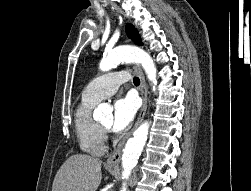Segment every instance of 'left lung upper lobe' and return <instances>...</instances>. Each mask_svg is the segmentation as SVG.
<instances>
[{
	"instance_id": "5c2ea615",
	"label": "left lung upper lobe",
	"mask_w": 251,
	"mask_h": 191,
	"mask_svg": "<svg viewBox=\"0 0 251 191\" xmlns=\"http://www.w3.org/2000/svg\"><path fill=\"white\" fill-rule=\"evenodd\" d=\"M126 33L129 38H131L136 44L142 45L143 43L141 42L140 36L137 32V30L134 28L133 25L127 24L126 25Z\"/></svg>"
}]
</instances>
